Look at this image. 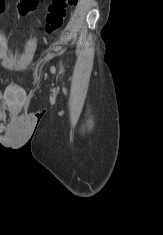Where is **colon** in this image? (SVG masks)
<instances>
[{"label": "colon", "mask_w": 163, "mask_h": 235, "mask_svg": "<svg viewBox=\"0 0 163 235\" xmlns=\"http://www.w3.org/2000/svg\"><path fill=\"white\" fill-rule=\"evenodd\" d=\"M78 0H52L46 15L45 31L53 33L63 25L67 9L77 4ZM38 0H19L17 10L20 15H28L38 7ZM5 0H0V12L4 10Z\"/></svg>", "instance_id": "colon-1"}]
</instances>
